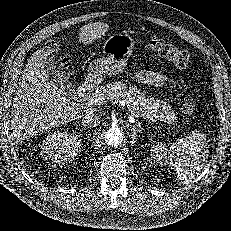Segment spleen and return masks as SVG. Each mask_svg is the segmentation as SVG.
Returning <instances> with one entry per match:
<instances>
[{
    "label": "spleen",
    "mask_w": 231,
    "mask_h": 231,
    "mask_svg": "<svg viewBox=\"0 0 231 231\" xmlns=\"http://www.w3.org/2000/svg\"><path fill=\"white\" fill-rule=\"evenodd\" d=\"M207 153L206 138L199 131H193L190 136L180 139L169 150L163 144L153 146L151 150V156L159 164L170 165L183 184L190 183L199 174Z\"/></svg>",
    "instance_id": "spleen-1"
}]
</instances>
